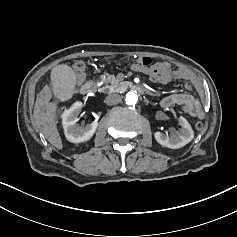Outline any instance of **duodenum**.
I'll return each instance as SVG.
<instances>
[{
  "label": "duodenum",
  "instance_id": "1",
  "mask_svg": "<svg viewBox=\"0 0 237 237\" xmlns=\"http://www.w3.org/2000/svg\"><path fill=\"white\" fill-rule=\"evenodd\" d=\"M96 89H97L96 81L90 79V80L85 81L83 85L81 86V93L84 95H88V94L94 93ZM133 89L138 93L144 92V88L139 84H134Z\"/></svg>",
  "mask_w": 237,
  "mask_h": 237
}]
</instances>
